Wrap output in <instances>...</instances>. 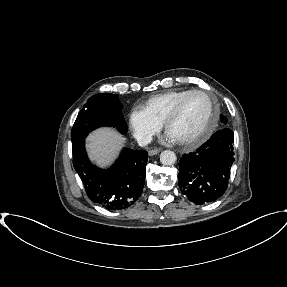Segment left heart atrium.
Instances as JSON below:
<instances>
[{
	"mask_svg": "<svg viewBox=\"0 0 287 287\" xmlns=\"http://www.w3.org/2000/svg\"><path fill=\"white\" fill-rule=\"evenodd\" d=\"M166 138L168 139V140H170V141H173V139L170 137V136H166Z\"/></svg>",
	"mask_w": 287,
	"mask_h": 287,
	"instance_id": "39dd6f15",
	"label": "left heart atrium"
}]
</instances>
